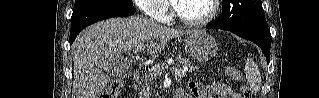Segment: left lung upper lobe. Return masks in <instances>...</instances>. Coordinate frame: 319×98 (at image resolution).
Masks as SVG:
<instances>
[{
    "label": "left lung upper lobe",
    "instance_id": "left-lung-upper-lobe-1",
    "mask_svg": "<svg viewBox=\"0 0 319 98\" xmlns=\"http://www.w3.org/2000/svg\"><path fill=\"white\" fill-rule=\"evenodd\" d=\"M210 24L218 28L268 26L261 0H223L222 13Z\"/></svg>",
    "mask_w": 319,
    "mask_h": 98
}]
</instances>
